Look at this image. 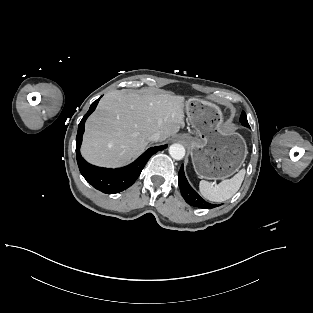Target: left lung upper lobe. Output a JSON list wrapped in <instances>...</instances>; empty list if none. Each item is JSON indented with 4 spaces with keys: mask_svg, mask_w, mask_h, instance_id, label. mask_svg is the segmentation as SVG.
I'll list each match as a JSON object with an SVG mask.
<instances>
[{
    "mask_svg": "<svg viewBox=\"0 0 313 313\" xmlns=\"http://www.w3.org/2000/svg\"><path fill=\"white\" fill-rule=\"evenodd\" d=\"M240 122L242 123V125H244L245 127H250L247 121V117L244 111H242L241 117H240Z\"/></svg>",
    "mask_w": 313,
    "mask_h": 313,
    "instance_id": "obj_1",
    "label": "left lung upper lobe"
}]
</instances>
